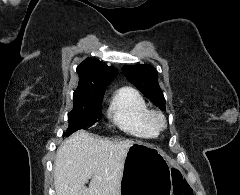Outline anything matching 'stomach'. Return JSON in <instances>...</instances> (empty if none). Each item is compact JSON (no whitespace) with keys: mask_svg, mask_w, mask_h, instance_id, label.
<instances>
[{"mask_svg":"<svg viewBox=\"0 0 240 195\" xmlns=\"http://www.w3.org/2000/svg\"><path fill=\"white\" fill-rule=\"evenodd\" d=\"M118 195H171L170 165L164 151L134 141L127 151Z\"/></svg>","mask_w":240,"mask_h":195,"instance_id":"0dacf381","label":"stomach"}]
</instances>
